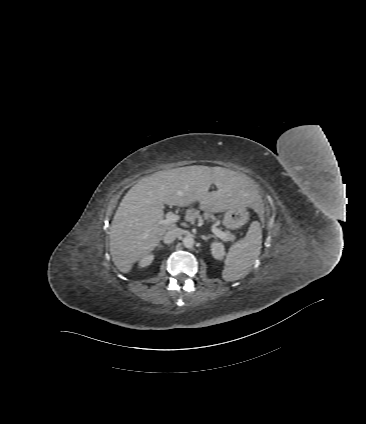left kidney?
<instances>
[{"label":"left kidney","instance_id":"1","mask_svg":"<svg viewBox=\"0 0 366 424\" xmlns=\"http://www.w3.org/2000/svg\"><path fill=\"white\" fill-rule=\"evenodd\" d=\"M211 252H212V255L216 259L222 260L224 258V255H225L224 245L222 243H219V242L212 243L211 244Z\"/></svg>","mask_w":366,"mask_h":424}]
</instances>
